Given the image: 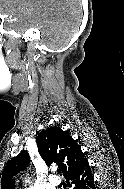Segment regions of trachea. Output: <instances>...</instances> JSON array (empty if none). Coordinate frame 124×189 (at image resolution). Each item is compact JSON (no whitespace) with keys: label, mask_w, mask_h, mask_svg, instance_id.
<instances>
[{"label":"trachea","mask_w":124,"mask_h":189,"mask_svg":"<svg viewBox=\"0 0 124 189\" xmlns=\"http://www.w3.org/2000/svg\"><path fill=\"white\" fill-rule=\"evenodd\" d=\"M57 172L60 173V170L58 169Z\"/></svg>","instance_id":"obj_1"}]
</instances>
